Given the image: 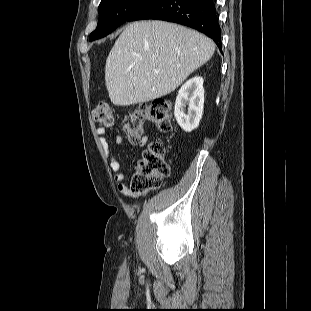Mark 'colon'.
<instances>
[{
  "label": "colon",
  "instance_id": "obj_1",
  "mask_svg": "<svg viewBox=\"0 0 311 311\" xmlns=\"http://www.w3.org/2000/svg\"><path fill=\"white\" fill-rule=\"evenodd\" d=\"M94 121L103 127H110L114 121L112 107L107 102H99L93 110ZM146 121H150L161 131L169 132L172 127L171 106L168 100L156 98L152 102L129 112L123 119V128L133 142H139L144 133ZM170 174L165 158V144L161 140L151 142L143 151L131 179V189L136 194L158 188Z\"/></svg>",
  "mask_w": 311,
  "mask_h": 311
}]
</instances>
